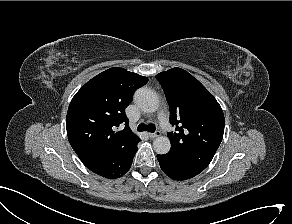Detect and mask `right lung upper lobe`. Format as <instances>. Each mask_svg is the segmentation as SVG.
Masks as SVG:
<instances>
[{"label":"right lung upper lobe","instance_id":"cb5924a9","mask_svg":"<svg viewBox=\"0 0 292 224\" xmlns=\"http://www.w3.org/2000/svg\"><path fill=\"white\" fill-rule=\"evenodd\" d=\"M148 78L110 68L88 81L70 102L66 129L75 152H124L139 141L128 126L125 108ZM125 125L117 131V127Z\"/></svg>","mask_w":292,"mask_h":224}]
</instances>
